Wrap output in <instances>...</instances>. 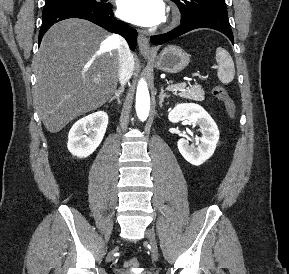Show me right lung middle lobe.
<instances>
[{
	"mask_svg": "<svg viewBox=\"0 0 289 274\" xmlns=\"http://www.w3.org/2000/svg\"><path fill=\"white\" fill-rule=\"evenodd\" d=\"M62 4H87V5H100L101 2L96 0H46L45 7H52Z\"/></svg>",
	"mask_w": 289,
	"mask_h": 274,
	"instance_id": "obj_1",
	"label": "right lung middle lobe"
}]
</instances>
